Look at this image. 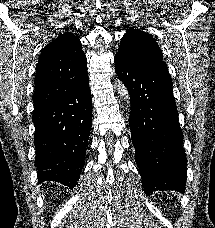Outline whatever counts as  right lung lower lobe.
I'll return each instance as SVG.
<instances>
[{"label": "right lung lower lobe", "instance_id": "1", "mask_svg": "<svg viewBox=\"0 0 215 228\" xmlns=\"http://www.w3.org/2000/svg\"><path fill=\"white\" fill-rule=\"evenodd\" d=\"M56 100L33 112L35 167L39 183L55 181L73 189L85 164L92 123L88 74L69 82Z\"/></svg>", "mask_w": 215, "mask_h": 228}]
</instances>
